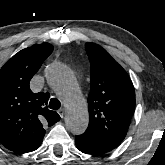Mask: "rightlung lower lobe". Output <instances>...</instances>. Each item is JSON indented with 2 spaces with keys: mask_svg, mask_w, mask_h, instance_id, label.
Wrapping results in <instances>:
<instances>
[{
  "mask_svg": "<svg viewBox=\"0 0 165 165\" xmlns=\"http://www.w3.org/2000/svg\"><path fill=\"white\" fill-rule=\"evenodd\" d=\"M40 144H41V142L38 143V144H36L35 146H33V147H32L29 151H27V152H31V151L36 150V149L40 146Z\"/></svg>",
  "mask_w": 165,
  "mask_h": 165,
  "instance_id": "1",
  "label": "right lung lower lobe"
}]
</instances>
